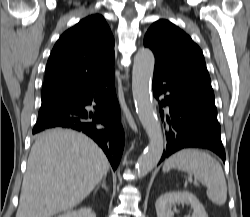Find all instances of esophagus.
Returning a JSON list of instances; mask_svg holds the SVG:
<instances>
[{
    "label": "esophagus",
    "mask_w": 250,
    "mask_h": 217,
    "mask_svg": "<svg viewBox=\"0 0 250 217\" xmlns=\"http://www.w3.org/2000/svg\"><path fill=\"white\" fill-rule=\"evenodd\" d=\"M122 122H123V124H125V117L124 116L122 117Z\"/></svg>",
    "instance_id": "34e87169"
}]
</instances>
